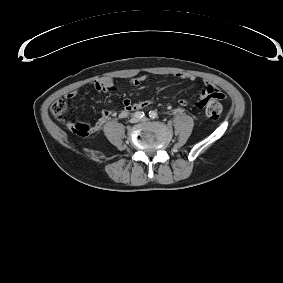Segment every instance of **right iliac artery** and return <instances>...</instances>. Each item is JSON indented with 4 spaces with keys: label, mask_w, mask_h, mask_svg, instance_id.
Instances as JSON below:
<instances>
[{
    "label": "right iliac artery",
    "mask_w": 283,
    "mask_h": 283,
    "mask_svg": "<svg viewBox=\"0 0 283 283\" xmlns=\"http://www.w3.org/2000/svg\"><path fill=\"white\" fill-rule=\"evenodd\" d=\"M134 116L136 117V118H142L143 116H144V112H136L135 114H134Z\"/></svg>",
    "instance_id": "right-iliac-artery-1"
}]
</instances>
